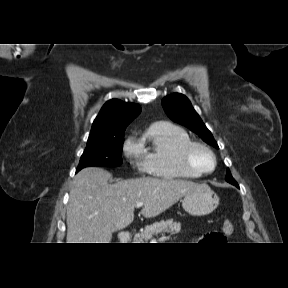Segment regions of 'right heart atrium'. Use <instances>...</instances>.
I'll use <instances>...</instances> for the list:
<instances>
[{
  "instance_id": "d8ad5b80",
  "label": "right heart atrium",
  "mask_w": 288,
  "mask_h": 288,
  "mask_svg": "<svg viewBox=\"0 0 288 288\" xmlns=\"http://www.w3.org/2000/svg\"><path fill=\"white\" fill-rule=\"evenodd\" d=\"M123 153L127 159L134 160L140 158L138 143L131 138L127 139L123 146Z\"/></svg>"
}]
</instances>
